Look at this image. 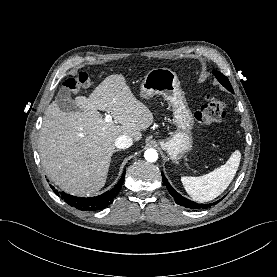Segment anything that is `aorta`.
I'll return each mask as SVG.
<instances>
[{
	"mask_svg": "<svg viewBox=\"0 0 277 277\" xmlns=\"http://www.w3.org/2000/svg\"><path fill=\"white\" fill-rule=\"evenodd\" d=\"M144 157L148 162H155L158 159V153L155 149H147L144 153Z\"/></svg>",
	"mask_w": 277,
	"mask_h": 277,
	"instance_id": "obj_1",
	"label": "aorta"
}]
</instances>
